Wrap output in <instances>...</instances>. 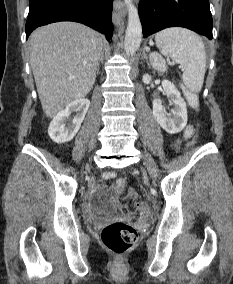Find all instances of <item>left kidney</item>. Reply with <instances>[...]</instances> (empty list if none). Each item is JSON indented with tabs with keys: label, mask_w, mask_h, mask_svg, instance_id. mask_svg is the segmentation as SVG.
Instances as JSON below:
<instances>
[{
	"label": "left kidney",
	"mask_w": 233,
	"mask_h": 284,
	"mask_svg": "<svg viewBox=\"0 0 233 284\" xmlns=\"http://www.w3.org/2000/svg\"><path fill=\"white\" fill-rule=\"evenodd\" d=\"M151 76L143 75V82L149 84ZM162 87L173 105L172 112L165 113V108L159 99L153 100V115L160 126L168 133L175 134L184 129L187 124V106L180 92L169 80L162 81Z\"/></svg>",
	"instance_id": "left-kidney-1"
}]
</instances>
